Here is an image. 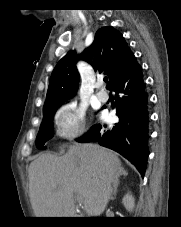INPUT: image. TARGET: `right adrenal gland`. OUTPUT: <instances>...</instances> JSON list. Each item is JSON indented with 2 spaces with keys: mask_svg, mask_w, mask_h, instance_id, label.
I'll list each match as a JSON object with an SVG mask.
<instances>
[{
  "mask_svg": "<svg viewBox=\"0 0 181 227\" xmlns=\"http://www.w3.org/2000/svg\"><path fill=\"white\" fill-rule=\"evenodd\" d=\"M120 175L127 176L128 173H127V171H126L124 168H121V170H120ZM118 185H119V179L117 178V179L113 182V196L110 198L111 200H114V199H115V196H116V194H117Z\"/></svg>",
  "mask_w": 181,
  "mask_h": 227,
  "instance_id": "right-adrenal-gland-1",
  "label": "right adrenal gland"
}]
</instances>
